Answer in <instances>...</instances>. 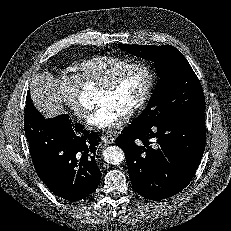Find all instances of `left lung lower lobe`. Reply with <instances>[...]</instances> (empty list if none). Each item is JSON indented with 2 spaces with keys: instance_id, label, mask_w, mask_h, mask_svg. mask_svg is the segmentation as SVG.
Listing matches in <instances>:
<instances>
[{
  "instance_id": "obj_1",
  "label": "left lung lower lobe",
  "mask_w": 231,
  "mask_h": 231,
  "mask_svg": "<svg viewBox=\"0 0 231 231\" xmlns=\"http://www.w3.org/2000/svg\"><path fill=\"white\" fill-rule=\"evenodd\" d=\"M150 139L155 141L154 147ZM138 140L143 144H136ZM205 142L204 113L165 124H131L116 139L125 152L133 188L154 201L169 198L188 185L200 164Z\"/></svg>"
}]
</instances>
